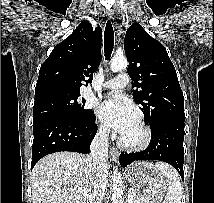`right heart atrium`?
Wrapping results in <instances>:
<instances>
[{
	"mask_svg": "<svg viewBox=\"0 0 214 203\" xmlns=\"http://www.w3.org/2000/svg\"><path fill=\"white\" fill-rule=\"evenodd\" d=\"M98 134L101 136H105L108 133V128L104 123H99L97 127Z\"/></svg>",
	"mask_w": 214,
	"mask_h": 203,
	"instance_id": "d8ad5b80",
	"label": "right heart atrium"
}]
</instances>
